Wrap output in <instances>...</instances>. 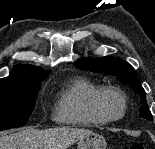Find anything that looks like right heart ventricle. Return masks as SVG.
I'll use <instances>...</instances> for the list:
<instances>
[{
  "label": "right heart ventricle",
  "mask_w": 155,
  "mask_h": 149,
  "mask_svg": "<svg viewBox=\"0 0 155 149\" xmlns=\"http://www.w3.org/2000/svg\"><path fill=\"white\" fill-rule=\"evenodd\" d=\"M100 87L85 78H74L60 92L53 110L59 124L97 127L109 123L95 107V96Z\"/></svg>",
  "instance_id": "1"
}]
</instances>
